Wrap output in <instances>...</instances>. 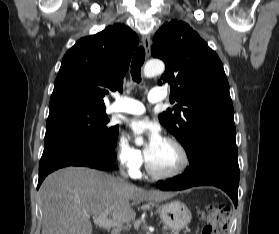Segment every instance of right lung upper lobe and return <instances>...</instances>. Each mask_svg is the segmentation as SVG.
<instances>
[{"instance_id":"right-lung-upper-lobe-1","label":"right lung upper lobe","mask_w":279,"mask_h":234,"mask_svg":"<svg viewBox=\"0 0 279 234\" xmlns=\"http://www.w3.org/2000/svg\"><path fill=\"white\" fill-rule=\"evenodd\" d=\"M138 36L115 24L81 38L67 51L56 77L50 110L64 107L105 109L108 91L121 90Z\"/></svg>"}]
</instances>
